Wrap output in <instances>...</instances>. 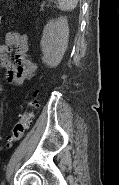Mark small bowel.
Segmentation results:
<instances>
[{"instance_id":"c3829d8e","label":"small bowel","mask_w":119,"mask_h":185,"mask_svg":"<svg viewBox=\"0 0 119 185\" xmlns=\"http://www.w3.org/2000/svg\"><path fill=\"white\" fill-rule=\"evenodd\" d=\"M14 53V62L10 54ZM0 67L6 72V80L10 84L21 85L36 72V64L29 55L28 41L24 34L8 32L5 43L0 46Z\"/></svg>"}]
</instances>
